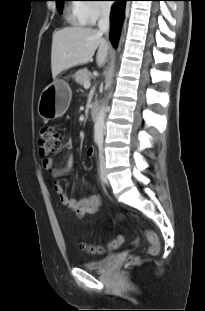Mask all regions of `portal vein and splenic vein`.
<instances>
[{"label": "portal vein and splenic vein", "instance_id": "obj_1", "mask_svg": "<svg viewBox=\"0 0 205 311\" xmlns=\"http://www.w3.org/2000/svg\"><path fill=\"white\" fill-rule=\"evenodd\" d=\"M83 85H84V88L88 89L91 84H90V81H85Z\"/></svg>", "mask_w": 205, "mask_h": 311}]
</instances>
